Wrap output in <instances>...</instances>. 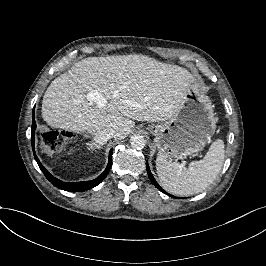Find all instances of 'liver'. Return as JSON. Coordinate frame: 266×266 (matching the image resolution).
<instances>
[{"instance_id": "obj_1", "label": "liver", "mask_w": 266, "mask_h": 266, "mask_svg": "<svg viewBox=\"0 0 266 266\" xmlns=\"http://www.w3.org/2000/svg\"><path fill=\"white\" fill-rule=\"evenodd\" d=\"M196 87L187 69L146 55L88 57L52 81L43 96L42 118L53 128L90 134L108 130L122 140L131 133L134 120L170 119L189 89ZM93 90L107 100L105 107L99 109L86 99Z\"/></svg>"}]
</instances>
